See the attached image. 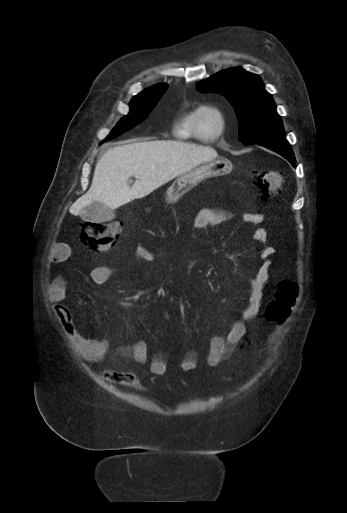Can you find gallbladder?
<instances>
[{
  "label": "gallbladder",
  "instance_id": "gallbladder-1",
  "mask_svg": "<svg viewBox=\"0 0 347 513\" xmlns=\"http://www.w3.org/2000/svg\"><path fill=\"white\" fill-rule=\"evenodd\" d=\"M82 220L87 222H106L115 218L114 211L100 202H93L80 213Z\"/></svg>",
  "mask_w": 347,
  "mask_h": 513
}]
</instances>
